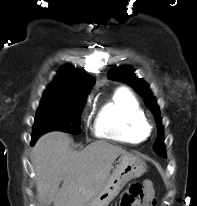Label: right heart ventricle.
Segmentation results:
<instances>
[{
  "instance_id": "e07e8e85",
  "label": "right heart ventricle",
  "mask_w": 197,
  "mask_h": 206,
  "mask_svg": "<svg viewBox=\"0 0 197 206\" xmlns=\"http://www.w3.org/2000/svg\"><path fill=\"white\" fill-rule=\"evenodd\" d=\"M97 137L139 143L148 135L144 110L127 89H117L100 108L94 123Z\"/></svg>"
}]
</instances>
